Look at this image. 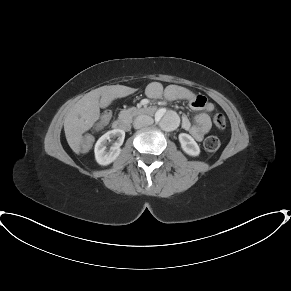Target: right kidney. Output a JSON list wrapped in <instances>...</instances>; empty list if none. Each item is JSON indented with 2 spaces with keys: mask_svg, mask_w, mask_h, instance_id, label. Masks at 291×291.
Returning a JSON list of instances; mask_svg holds the SVG:
<instances>
[{
  "mask_svg": "<svg viewBox=\"0 0 291 291\" xmlns=\"http://www.w3.org/2000/svg\"><path fill=\"white\" fill-rule=\"evenodd\" d=\"M125 132L120 129L108 131L102 135L95 144V159L100 165H108L112 163L120 154V146L123 144ZM116 139L113 145L108 149L107 144Z\"/></svg>",
  "mask_w": 291,
  "mask_h": 291,
  "instance_id": "obj_1",
  "label": "right kidney"
}]
</instances>
